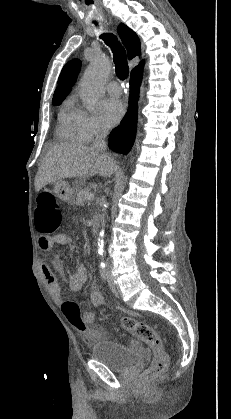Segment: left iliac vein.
<instances>
[{"label": "left iliac vein", "mask_w": 231, "mask_h": 419, "mask_svg": "<svg viewBox=\"0 0 231 419\" xmlns=\"http://www.w3.org/2000/svg\"><path fill=\"white\" fill-rule=\"evenodd\" d=\"M107 279H108V285L112 291V293L116 296V297H120V291L117 288L116 284L114 283V279L111 275V271L109 269H107Z\"/></svg>", "instance_id": "1"}]
</instances>
